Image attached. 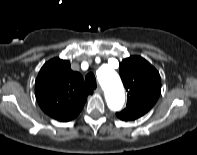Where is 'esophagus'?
Wrapping results in <instances>:
<instances>
[{
  "label": "esophagus",
  "mask_w": 197,
  "mask_h": 155,
  "mask_svg": "<svg viewBox=\"0 0 197 155\" xmlns=\"http://www.w3.org/2000/svg\"><path fill=\"white\" fill-rule=\"evenodd\" d=\"M96 92L101 94L103 92L102 88L99 86L97 89H96Z\"/></svg>",
  "instance_id": "esophagus-1"
}]
</instances>
